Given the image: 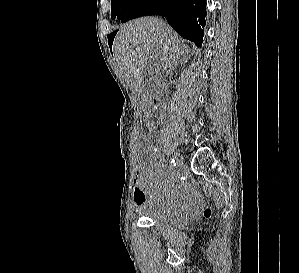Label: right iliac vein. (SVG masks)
<instances>
[{
    "label": "right iliac vein",
    "instance_id": "1",
    "mask_svg": "<svg viewBox=\"0 0 299 273\" xmlns=\"http://www.w3.org/2000/svg\"><path fill=\"white\" fill-rule=\"evenodd\" d=\"M174 158L176 160L178 168H181L183 166V157L177 150L174 151Z\"/></svg>",
    "mask_w": 299,
    "mask_h": 273
}]
</instances>
